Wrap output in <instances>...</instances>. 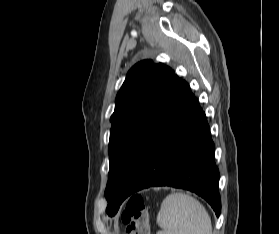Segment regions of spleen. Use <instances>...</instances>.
<instances>
[{
	"label": "spleen",
	"mask_w": 279,
	"mask_h": 234,
	"mask_svg": "<svg viewBox=\"0 0 279 234\" xmlns=\"http://www.w3.org/2000/svg\"><path fill=\"white\" fill-rule=\"evenodd\" d=\"M157 234H212L211 219L205 207L184 193L168 195L157 215Z\"/></svg>",
	"instance_id": "spleen-1"
}]
</instances>
